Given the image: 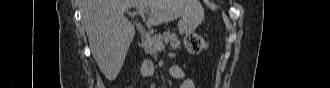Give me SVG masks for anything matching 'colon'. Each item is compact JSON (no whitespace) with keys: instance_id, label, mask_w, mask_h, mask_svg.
<instances>
[{"instance_id":"obj_1","label":"colon","mask_w":330,"mask_h":88,"mask_svg":"<svg viewBox=\"0 0 330 88\" xmlns=\"http://www.w3.org/2000/svg\"><path fill=\"white\" fill-rule=\"evenodd\" d=\"M185 46L191 54H199L208 48V42L201 35L189 34L185 38Z\"/></svg>"}]
</instances>
